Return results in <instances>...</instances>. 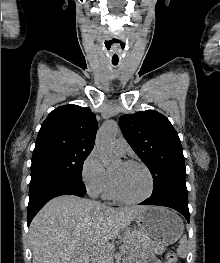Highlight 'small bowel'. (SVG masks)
Masks as SVG:
<instances>
[{"label":"small bowel","instance_id":"obj_1","mask_svg":"<svg viewBox=\"0 0 220 263\" xmlns=\"http://www.w3.org/2000/svg\"><path fill=\"white\" fill-rule=\"evenodd\" d=\"M145 263H162V262H160L159 260H157V259L154 258V257H150V258H148V259L145 261Z\"/></svg>","mask_w":220,"mask_h":263}]
</instances>
